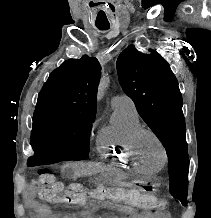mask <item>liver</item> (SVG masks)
<instances>
[{
    "label": "liver",
    "mask_w": 211,
    "mask_h": 218,
    "mask_svg": "<svg viewBox=\"0 0 211 218\" xmlns=\"http://www.w3.org/2000/svg\"><path fill=\"white\" fill-rule=\"evenodd\" d=\"M71 168L74 170L75 176H89V174H95L90 164H83V162H74L71 164Z\"/></svg>",
    "instance_id": "1"
}]
</instances>
